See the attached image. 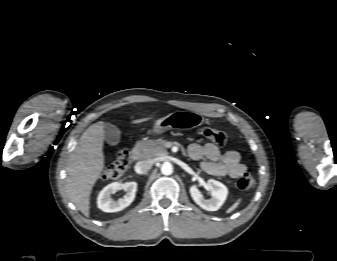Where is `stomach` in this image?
<instances>
[{"label":"stomach","mask_w":337,"mask_h":261,"mask_svg":"<svg viewBox=\"0 0 337 261\" xmlns=\"http://www.w3.org/2000/svg\"><path fill=\"white\" fill-rule=\"evenodd\" d=\"M204 121L203 116L199 113L192 111H175L157 120L151 132L161 134L170 129L190 130L202 125Z\"/></svg>","instance_id":"1"}]
</instances>
